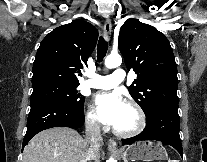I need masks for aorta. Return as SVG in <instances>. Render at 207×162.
<instances>
[{
    "label": "aorta",
    "instance_id": "obj_1",
    "mask_svg": "<svg viewBox=\"0 0 207 162\" xmlns=\"http://www.w3.org/2000/svg\"><path fill=\"white\" fill-rule=\"evenodd\" d=\"M122 63V59L118 54H110L105 59V66L109 69L116 68L120 66ZM114 159L110 157L108 162H114Z\"/></svg>",
    "mask_w": 207,
    "mask_h": 162
}]
</instances>
